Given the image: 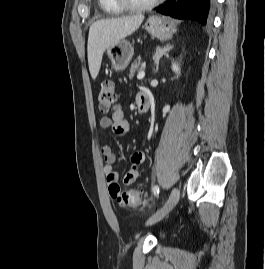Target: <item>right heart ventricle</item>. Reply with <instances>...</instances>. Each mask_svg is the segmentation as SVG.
<instances>
[{
	"instance_id": "e07e8e85",
	"label": "right heart ventricle",
	"mask_w": 265,
	"mask_h": 269,
	"mask_svg": "<svg viewBox=\"0 0 265 269\" xmlns=\"http://www.w3.org/2000/svg\"><path fill=\"white\" fill-rule=\"evenodd\" d=\"M100 8L110 14H119L124 11V8H122L118 3H116L115 0H98Z\"/></svg>"
}]
</instances>
